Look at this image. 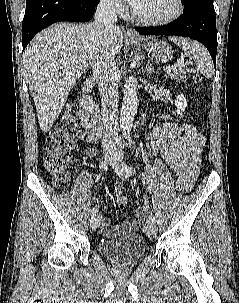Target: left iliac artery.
Segmentation results:
<instances>
[{
	"label": "left iliac artery",
	"mask_w": 239,
	"mask_h": 303,
	"mask_svg": "<svg viewBox=\"0 0 239 303\" xmlns=\"http://www.w3.org/2000/svg\"><path fill=\"white\" fill-rule=\"evenodd\" d=\"M124 166L127 170H129V173L132 175L135 174V171L132 170L130 167L127 166V164L124 163ZM145 200H144V204H145V207H146V210L148 211V214H149V220L152 221L153 223H155V217L153 216V214L149 211V205H148V200L146 197H144Z\"/></svg>",
	"instance_id": "44dca946"
}]
</instances>
